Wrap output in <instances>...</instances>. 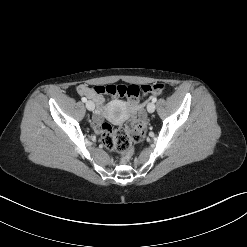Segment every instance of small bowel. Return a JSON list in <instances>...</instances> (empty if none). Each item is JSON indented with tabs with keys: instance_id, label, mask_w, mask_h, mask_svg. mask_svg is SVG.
Segmentation results:
<instances>
[{
	"instance_id": "small-bowel-1",
	"label": "small bowel",
	"mask_w": 247,
	"mask_h": 247,
	"mask_svg": "<svg viewBox=\"0 0 247 247\" xmlns=\"http://www.w3.org/2000/svg\"><path fill=\"white\" fill-rule=\"evenodd\" d=\"M96 87L90 88V87H87L85 85H80L77 87V92L80 95H85V96L91 98L96 103L97 111L94 115V120H95L96 124L99 126L103 120V115H104V112L107 108V103H106V98H105V95L107 93L102 92L100 95H97L94 92V89ZM100 87L102 88L103 86H100ZM127 108L129 110V112H131V113H141V107L139 105L133 106L129 102L127 105Z\"/></svg>"
}]
</instances>
